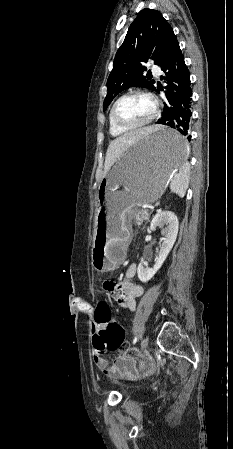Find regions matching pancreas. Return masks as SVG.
<instances>
[{"mask_svg":"<svg viewBox=\"0 0 233 449\" xmlns=\"http://www.w3.org/2000/svg\"><path fill=\"white\" fill-rule=\"evenodd\" d=\"M132 218L137 224L149 220V214L146 210L136 209L132 211Z\"/></svg>","mask_w":233,"mask_h":449,"instance_id":"1","label":"pancreas"}]
</instances>
